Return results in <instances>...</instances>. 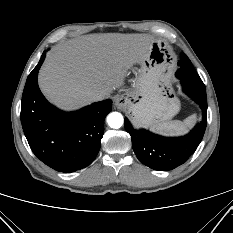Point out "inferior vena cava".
<instances>
[{"mask_svg":"<svg viewBox=\"0 0 233 233\" xmlns=\"http://www.w3.org/2000/svg\"><path fill=\"white\" fill-rule=\"evenodd\" d=\"M107 97L106 92L104 91H98L92 95V100L93 101H101L104 100Z\"/></svg>","mask_w":233,"mask_h":233,"instance_id":"602c4592","label":"inferior vena cava"}]
</instances>
